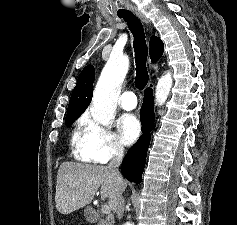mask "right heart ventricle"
I'll return each mask as SVG.
<instances>
[{
	"label": "right heart ventricle",
	"mask_w": 237,
	"mask_h": 225,
	"mask_svg": "<svg viewBox=\"0 0 237 225\" xmlns=\"http://www.w3.org/2000/svg\"><path fill=\"white\" fill-rule=\"evenodd\" d=\"M79 125L81 126V121L79 122ZM78 139H79V133L76 132L75 135H74V143H75V153H76V156L80 159H83L77 152H76V147H77V144H78ZM84 160V159H83Z\"/></svg>",
	"instance_id": "obj_1"
}]
</instances>
